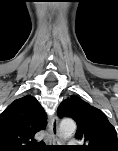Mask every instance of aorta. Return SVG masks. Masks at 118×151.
Wrapping results in <instances>:
<instances>
[{"instance_id":"obj_1","label":"aorta","mask_w":118,"mask_h":151,"mask_svg":"<svg viewBox=\"0 0 118 151\" xmlns=\"http://www.w3.org/2000/svg\"><path fill=\"white\" fill-rule=\"evenodd\" d=\"M76 123L72 119H64L59 126V134L62 139H69L76 131Z\"/></svg>"}]
</instances>
